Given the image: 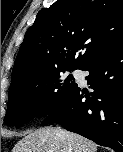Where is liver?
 I'll return each mask as SVG.
<instances>
[{
  "mask_svg": "<svg viewBox=\"0 0 123 152\" xmlns=\"http://www.w3.org/2000/svg\"><path fill=\"white\" fill-rule=\"evenodd\" d=\"M12 152H97V145L76 133L47 127L29 132Z\"/></svg>",
  "mask_w": 123,
  "mask_h": 152,
  "instance_id": "1",
  "label": "liver"
}]
</instances>
